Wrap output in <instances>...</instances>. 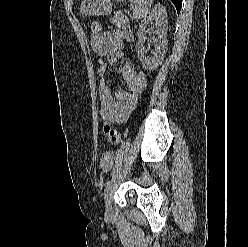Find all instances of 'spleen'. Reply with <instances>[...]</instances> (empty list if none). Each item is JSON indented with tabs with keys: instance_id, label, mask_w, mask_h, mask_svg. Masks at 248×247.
Returning a JSON list of instances; mask_svg holds the SVG:
<instances>
[{
	"instance_id": "1",
	"label": "spleen",
	"mask_w": 248,
	"mask_h": 247,
	"mask_svg": "<svg viewBox=\"0 0 248 247\" xmlns=\"http://www.w3.org/2000/svg\"><path fill=\"white\" fill-rule=\"evenodd\" d=\"M135 4L133 9V18L140 20L147 16L153 0H130Z\"/></svg>"
}]
</instances>
